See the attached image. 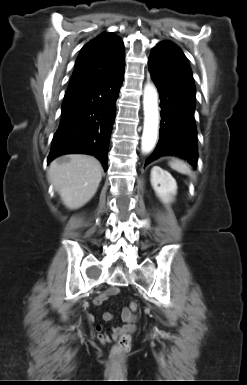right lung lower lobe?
Wrapping results in <instances>:
<instances>
[{"instance_id": "right-lung-lower-lobe-1", "label": "right lung lower lobe", "mask_w": 247, "mask_h": 385, "mask_svg": "<svg viewBox=\"0 0 247 385\" xmlns=\"http://www.w3.org/2000/svg\"><path fill=\"white\" fill-rule=\"evenodd\" d=\"M124 67L66 91L48 162L63 154L83 153L97 157L107 170L109 139Z\"/></svg>"}]
</instances>
